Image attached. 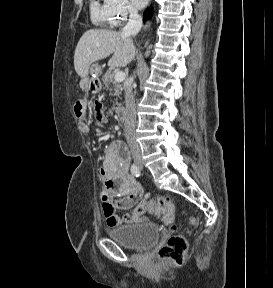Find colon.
I'll use <instances>...</instances> for the list:
<instances>
[{"mask_svg": "<svg viewBox=\"0 0 273 288\" xmlns=\"http://www.w3.org/2000/svg\"><path fill=\"white\" fill-rule=\"evenodd\" d=\"M103 108L98 102L94 104L93 111L100 114ZM75 112L79 119L85 118L83 108L80 104L75 106ZM146 211L161 216L165 224H172L175 218V207L168 197H159L157 199H148L143 202ZM188 244L183 235H173L159 249L158 256L162 260L172 261L175 265L180 266L187 252Z\"/></svg>", "mask_w": 273, "mask_h": 288, "instance_id": "colon-1", "label": "colon"}]
</instances>
